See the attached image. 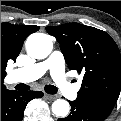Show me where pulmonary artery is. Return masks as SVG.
<instances>
[{
    "label": "pulmonary artery",
    "instance_id": "pulmonary-artery-1",
    "mask_svg": "<svg viewBox=\"0 0 121 121\" xmlns=\"http://www.w3.org/2000/svg\"><path fill=\"white\" fill-rule=\"evenodd\" d=\"M49 72L58 91L71 99L76 98L78 86L72 87L64 74V58L61 52L55 51L44 61L17 69L11 77L23 82H30Z\"/></svg>",
    "mask_w": 121,
    "mask_h": 121
}]
</instances>
